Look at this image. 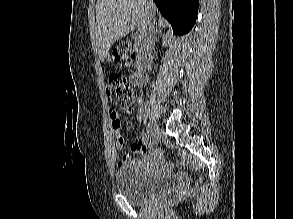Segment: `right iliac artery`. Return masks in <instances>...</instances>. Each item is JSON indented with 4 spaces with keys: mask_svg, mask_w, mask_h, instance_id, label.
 Returning <instances> with one entry per match:
<instances>
[{
    "mask_svg": "<svg viewBox=\"0 0 293 219\" xmlns=\"http://www.w3.org/2000/svg\"><path fill=\"white\" fill-rule=\"evenodd\" d=\"M146 135H148V136L150 135V132H149V130H147V131H146Z\"/></svg>",
    "mask_w": 293,
    "mask_h": 219,
    "instance_id": "1",
    "label": "right iliac artery"
}]
</instances>
